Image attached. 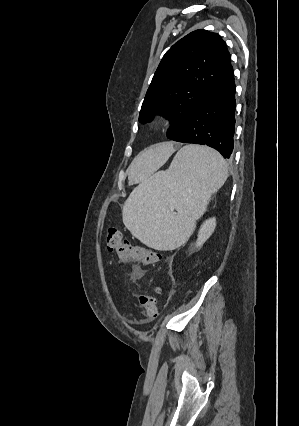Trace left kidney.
I'll return each mask as SVG.
<instances>
[{
    "label": "left kidney",
    "instance_id": "5707ae66",
    "mask_svg": "<svg viewBox=\"0 0 299 426\" xmlns=\"http://www.w3.org/2000/svg\"><path fill=\"white\" fill-rule=\"evenodd\" d=\"M216 227V218H209L200 227L198 238L195 244L196 248H200L209 239Z\"/></svg>",
    "mask_w": 299,
    "mask_h": 426
}]
</instances>
